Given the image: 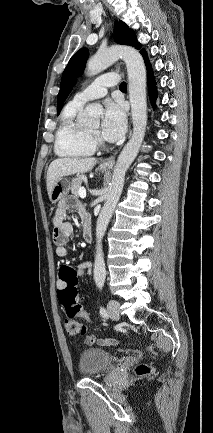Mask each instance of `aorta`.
Instances as JSON below:
<instances>
[{
  "instance_id": "aorta-1",
  "label": "aorta",
  "mask_w": 213,
  "mask_h": 433,
  "mask_svg": "<svg viewBox=\"0 0 213 433\" xmlns=\"http://www.w3.org/2000/svg\"><path fill=\"white\" fill-rule=\"evenodd\" d=\"M119 58L124 60L127 67L133 134L117 159L107 199L97 220L94 261V281L97 287H102L106 278L102 239L121 196L125 174L136 158L143 142L147 125L146 68L142 56L136 49L127 46H112L105 51H99L88 60L87 75L93 76L102 72ZM100 112V107L88 105L81 122L90 124L96 121Z\"/></svg>"
}]
</instances>
